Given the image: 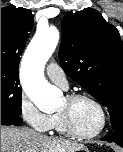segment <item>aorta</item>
I'll use <instances>...</instances> for the list:
<instances>
[{
    "mask_svg": "<svg viewBox=\"0 0 123 152\" xmlns=\"http://www.w3.org/2000/svg\"><path fill=\"white\" fill-rule=\"evenodd\" d=\"M59 31L55 27L38 30L28 45L21 63V82L25 94L42 112H51L59 105L60 94L44 75L45 64L53 54Z\"/></svg>",
    "mask_w": 123,
    "mask_h": 152,
    "instance_id": "aorta-1",
    "label": "aorta"
}]
</instances>
